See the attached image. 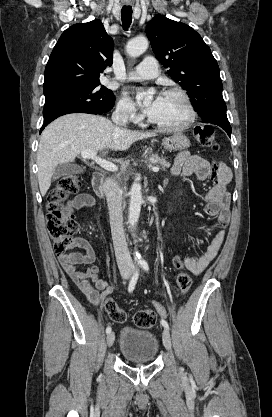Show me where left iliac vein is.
<instances>
[{
    "instance_id": "4c4485c4",
    "label": "left iliac vein",
    "mask_w": 272,
    "mask_h": 417,
    "mask_svg": "<svg viewBox=\"0 0 272 417\" xmlns=\"http://www.w3.org/2000/svg\"><path fill=\"white\" fill-rule=\"evenodd\" d=\"M162 338H163V344H164L165 348L167 350L171 351V348H172L171 337H170V333L167 329L163 330Z\"/></svg>"
}]
</instances>
